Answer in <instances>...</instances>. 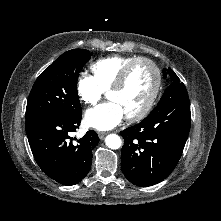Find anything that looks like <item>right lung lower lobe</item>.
<instances>
[{
  "instance_id": "98d812e1",
  "label": "right lung lower lobe",
  "mask_w": 221,
  "mask_h": 221,
  "mask_svg": "<svg viewBox=\"0 0 221 221\" xmlns=\"http://www.w3.org/2000/svg\"><path fill=\"white\" fill-rule=\"evenodd\" d=\"M82 114H45L26 120L25 128L33 156L41 170L63 185L79 183L89 172L92 150L99 142L95 131H88L73 143L69 135L79 128Z\"/></svg>"
}]
</instances>
